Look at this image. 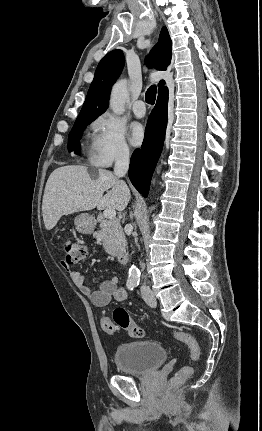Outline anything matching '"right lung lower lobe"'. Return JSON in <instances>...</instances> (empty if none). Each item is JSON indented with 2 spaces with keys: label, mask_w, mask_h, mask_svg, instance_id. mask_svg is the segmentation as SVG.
Here are the masks:
<instances>
[{
  "label": "right lung lower lobe",
  "mask_w": 262,
  "mask_h": 431,
  "mask_svg": "<svg viewBox=\"0 0 262 431\" xmlns=\"http://www.w3.org/2000/svg\"><path fill=\"white\" fill-rule=\"evenodd\" d=\"M168 89L159 93L148 119L142 148L131 157L129 178L134 187L146 197L156 163L160 156L167 125Z\"/></svg>",
  "instance_id": "98d812e1"
}]
</instances>
